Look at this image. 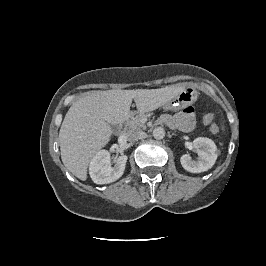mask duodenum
I'll return each mask as SVG.
<instances>
[{
  "label": "duodenum",
  "mask_w": 266,
  "mask_h": 266,
  "mask_svg": "<svg viewBox=\"0 0 266 266\" xmlns=\"http://www.w3.org/2000/svg\"><path fill=\"white\" fill-rule=\"evenodd\" d=\"M117 132L118 133H123V130H124V123H121L117 126Z\"/></svg>",
  "instance_id": "duodenum-1"
}]
</instances>
